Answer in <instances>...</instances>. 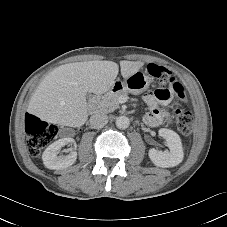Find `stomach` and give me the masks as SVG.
I'll use <instances>...</instances> for the list:
<instances>
[{
    "label": "stomach",
    "mask_w": 227,
    "mask_h": 227,
    "mask_svg": "<svg viewBox=\"0 0 227 227\" xmlns=\"http://www.w3.org/2000/svg\"><path fill=\"white\" fill-rule=\"evenodd\" d=\"M152 81V77L142 71H137L128 78L124 79V81H116L111 89L118 91L124 90L137 95L146 91Z\"/></svg>",
    "instance_id": "0dacf381"
}]
</instances>
